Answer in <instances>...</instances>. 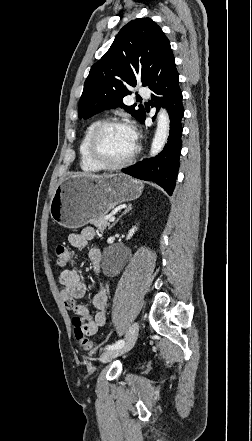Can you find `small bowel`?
Instances as JSON below:
<instances>
[{"label": "small bowel", "mask_w": 252, "mask_h": 441, "mask_svg": "<svg viewBox=\"0 0 252 441\" xmlns=\"http://www.w3.org/2000/svg\"><path fill=\"white\" fill-rule=\"evenodd\" d=\"M96 232L91 227L84 228L79 233H71L68 237L69 243L78 249L85 248L93 241ZM89 258L95 273H99L101 264V253L97 248H91ZM59 283L61 285V298L67 310L74 316H78L83 323L84 333L88 336L96 334L98 328L104 326L107 320V313L110 306V296L106 287L101 284L99 290L93 296L92 303L95 313L77 300L84 298L87 292L79 272L75 269H67L60 273Z\"/></svg>", "instance_id": "1"}]
</instances>
